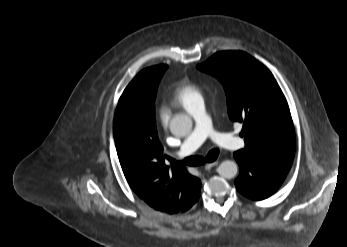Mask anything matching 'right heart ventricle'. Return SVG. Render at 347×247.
I'll list each match as a JSON object with an SVG mask.
<instances>
[{
    "label": "right heart ventricle",
    "instance_id": "1",
    "mask_svg": "<svg viewBox=\"0 0 347 247\" xmlns=\"http://www.w3.org/2000/svg\"><path fill=\"white\" fill-rule=\"evenodd\" d=\"M202 97V92L196 84L189 80H181L174 86L168 102L188 111L193 103Z\"/></svg>",
    "mask_w": 347,
    "mask_h": 247
}]
</instances>
